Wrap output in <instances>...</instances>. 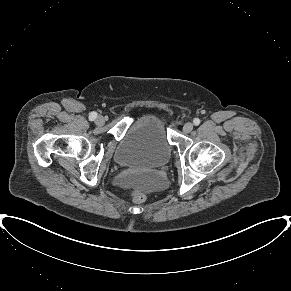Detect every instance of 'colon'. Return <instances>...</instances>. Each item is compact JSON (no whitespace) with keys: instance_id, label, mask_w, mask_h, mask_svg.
<instances>
[{"instance_id":"5ec220e1","label":"colon","mask_w":291,"mask_h":291,"mask_svg":"<svg viewBox=\"0 0 291 291\" xmlns=\"http://www.w3.org/2000/svg\"><path fill=\"white\" fill-rule=\"evenodd\" d=\"M132 199L135 203H142L145 201V194L139 190L132 192Z\"/></svg>"}]
</instances>
